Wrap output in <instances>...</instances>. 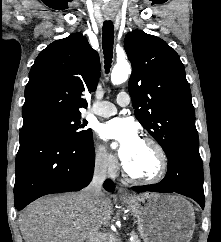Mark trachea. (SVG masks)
Returning a JSON list of instances; mask_svg holds the SVG:
<instances>
[{
  "mask_svg": "<svg viewBox=\"0 0 221 242\" xmlns=\"http://www.w3.org/2000/svg\"><path fill=\"white\" fill-rule=\"evenodd\" d=\"M113 43H114V26L112 21H105L103 24V33H102V48L105 58V72L108 74L112 58H113Z\"/></svg>",
  "mask_w": 221,
  "mask_h": 242,
  "instance_id": "trachea-1",
  "label": "trachea"
}]
</instances>
